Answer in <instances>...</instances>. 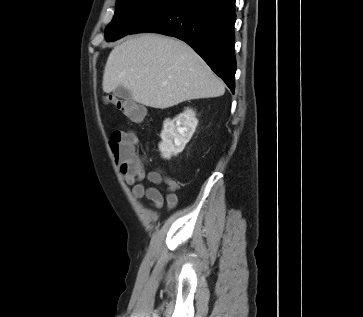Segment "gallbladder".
Here are the masks:
<instances>
[{
  "instance_id": "gallbladder-1",
  "label": "gallbladder",
  "mask_w": 363,
  "mask_h": 317,
  "mask_svg": "<svg viewBox=\"0 0 363 317\" xmlns=\"http://www.w3.org/2000/svg\"><path fill=\"white\" fill-rule=\"evenodd\" d=\"M114 95L117 96L118 98L121 99H130L131 98V93L130 91H128L126 88H124L123 86H118L114 91H113Z\"/></svg>"
}]
</instances>
